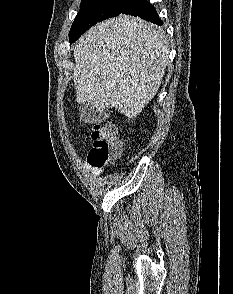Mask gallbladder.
Here are the masks:
<instances>
[{
	"instance_id": "bac80fb5",
	"label": "gallbladder",
	"mask_w": 233,
	"mask_h": 294,
	"mask_svg": "<svg viewBox=\"0 0 233 294\" xmlns=\"http://www.w3.org/2000/svg\"><path fill=\"white\" fill-rule=\"evenodd\" d=\"M80 114L82 116V118L86 121H95V114L96 111L94 110V108L91 107L90 103H84L81 105L80 107Z\"/></svg>"
}]
</instances>
